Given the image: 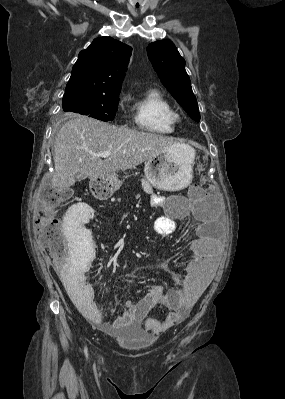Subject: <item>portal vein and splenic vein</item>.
<instances>
[{
    "instance_id": "1",
    "label": "portal vein and splenic vein",
    "mask_w": 285,
    "mask_h": 399,
    "mask_svg": "<svg viewBox=\"0 0 285 399\" xmlns=\"http://www.w3.org/2000/svg\"><path fill=\"white\" fill-rule=\"evenodd\" d=\"M93 155L102 157V158H108L111 154H110V152H102V153H94Z\"/></svg>"
}]
</instances>
